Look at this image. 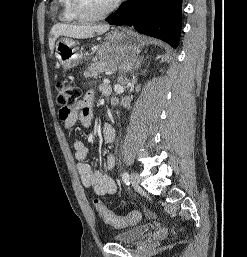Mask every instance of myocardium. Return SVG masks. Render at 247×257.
Wrapping results in <instances>:
<instances>
[{
	"instance_id": "myocardium-1",
	"label": "myocardium",
	"mask_w": 247,
	"mask_h": 257,
	"mask_svg": "<svg viewBox=\"0 0 247 257\" xmlns=\"http://www.w3.org/2000/svg\"><path fill=\"white\" fill-rule=\"evenodd\" d=\"M122 0H114L106 9L98 13L89 12L84 5L83 0H72L73 10L81 21L91 22L102 19L114 12Z\"/></svg>"
}]
</instances>
